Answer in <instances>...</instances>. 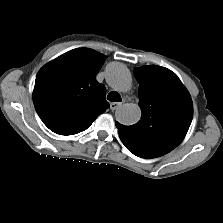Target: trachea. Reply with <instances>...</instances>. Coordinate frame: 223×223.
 <instances>
[{
    "label": "trachea",
    "instance_id": "trachea-1",
    "mask_svg": "<svg viewBox=\"0 0 223 223\" xmlns=\"http://www.w3.org/2000/svg\"><path fill=\"white\" fill-rule=\"evenodd\" d=\"M107 99L111 102H121V96L116 91H112L108 94Z\"/></svg>",
    "mask_w": 223,
    "mask_h": 223
}]
</instances>
